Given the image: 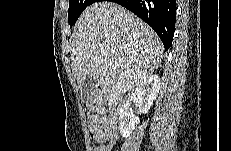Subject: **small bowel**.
Instances as JSON below:
<instances>
[{"mask_svg": "<svg viewBox=\"0 0 231 151\" xmlns=\"http://www.w3.org/2000/svg\"><path fill=\"white\" fill-rule=\"evenodd\" d=\"M88 124L92 137L96 142L95 151H112L117 141V133L112 118L90 116Z\"/></svg>", "mask_w": 231, "mask_h": 151, "instance_id": "obj_1", "label": "small bowel"}]
</instances>
